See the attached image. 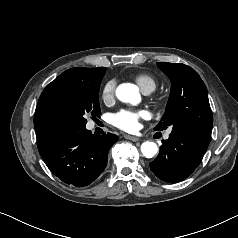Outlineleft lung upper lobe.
I'll use <instances>...</instances> for the list:
<instances>
[{
    "mask_svg": "<svg viewBox=\"0 0 238 238\" xmlns=\"http://www.w3.org/2000/svg\"><path fill=\"white\" fill-rule=\"evenodd\" d=\"M171 80V92L166 111L155 127L163 130L186 131L211 138L213 116L207 88L191 67L180 63H156Z\"/></svg>",
    "mask_w": 238,
    "mask_h": 238,
    "instance_id": "5c2ea615",
    "label": "left lung upper lobe"
}]
</instances>
